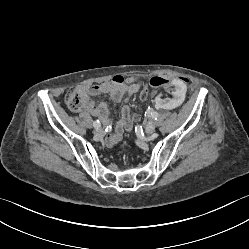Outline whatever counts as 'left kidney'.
<instances>
[{"mask_svg":"<svg viewBox=\"0 0 249 249\" xmlns=\"http://www.w3.org/2000/svg\"><path fill=\"white\" fill-rule=\"evenodd\" d=\"M188 86L182 77L170 79L154 96V107L157 110L170 111L174 107H181L186 102Z\"/></svg>","mask_w":249,"mask_h":249,"instance_id":"left-kidney-1","label":"left kidney"}]
</instances>
